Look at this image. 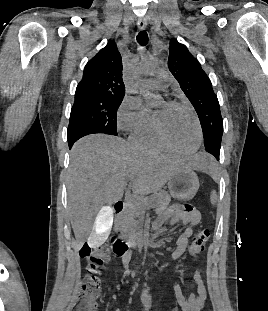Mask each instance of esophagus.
Masks as SVG:
<instances>
[{
	"label": "esophagus",
	"mask_w": 268,
	"mask_h": 311,
	"mask_svg": "<svg viewBox=\"0 0 268 311\" xmlns=\"http://www.w3.org/2000/svg\"><path fill=\"white\" fill-rule=\"evenodd\" d=\"M137 26L140 30H144L147 26V22L144 18H139L137 21Z\"/></svg>",
	"instance_id": "obj_1"
}]
</instances>
